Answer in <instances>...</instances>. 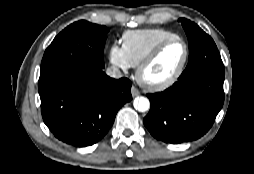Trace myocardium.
<instances>
[{"mask_svg":"<svg viewBox=\"0 0 254 174\" xmlns=\"http://www.w3.org/2000/svg\"><path fill=\"white\" fill-rule=\"evenodd\" d=\"M173 42H181L184 46L185 53L183 60L178 67V69L175 71V73L170 76L169 78L162 80V81H148L144 78V72L145 70L156 60V58L159 56L161 51L168 46L169 44ZM189 46L186 43V41L177 36L170 39H166L164 41H161L156 46L153 47V49L146 55V57L139 63L136 70V78L137 81L145 88H148L152 91H160L164 90L170 86H172L174 83L177 82V80L181 77L183 74L185 67L187 65L188 59H189Z\"/></svg>","mask_w":254,"mask_h":174,"instance_id":"myocardium-1","label":"myocardium"}]
</instances>
